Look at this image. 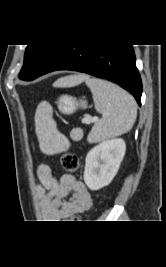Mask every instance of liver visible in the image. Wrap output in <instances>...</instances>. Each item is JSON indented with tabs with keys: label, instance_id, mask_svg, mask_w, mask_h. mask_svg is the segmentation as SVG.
<instances>
[{
	"label": "liver",
	"instance_id": "obj_1",
	"mask_svg": "<svg viewBox=\"0 0 166 267\" xmlns=\"http://www.w3.org/2000/svg\"><path fill=\"white\" fill-rule=\"evenodd\" d=\"M86 79H87L86 75H82V74L71 75V76H67L62 79L57 80L53 84V86L54 87H73V86L81 84Z\"/></svg>",
	"mask_w": 166,
	"mask_h": 267
}]
</instances>
